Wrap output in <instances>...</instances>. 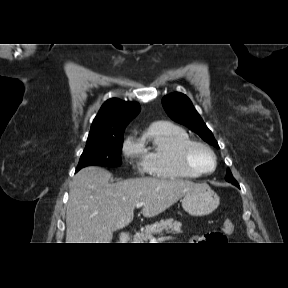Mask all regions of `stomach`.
<instances>
[{
	"instance_id": "0dacf381",
	"label": "stomach",
	"mask_w": 288,
	"mask_h": 288,
	"mask_svg": "<svg viewBox=\"0 0 288 288\" xmlns=\"http://www.w3.org/2000/svg\"><path fill=\"white\" fill-rule=\"evenodd\" d=\"M219 202V196L207 184H198L184 195L182 207L192 216H204L212 213Z\"/></svg>"
}]
</instances>
